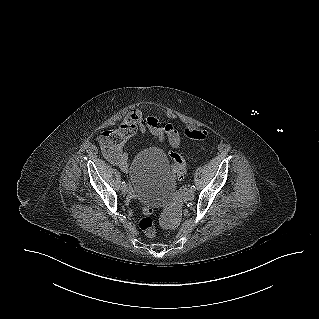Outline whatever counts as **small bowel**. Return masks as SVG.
Listing matches in <instances>:
<instances>
[{"label": "small bowel", "mask_w": 319, "mask_h": 319, "mask_svg": "<svg viewBox=\"0 0 319 319\" xmlns=\"http://www.w3.org/2000/svg\"><path fill=\"white\" fill-rule=\"evenodd\" d=\"M136 132L150 133L159 141L168 140L174 148L180 145L178 131L173 125H162L157 117L144 115L141 110L133 109L130 119H118L109 124L102 134L101 149L104 157L123 172H127L129 167L126 146Z\"/></svg>", "instance_id": "c3829d8e"}]
</instances>
